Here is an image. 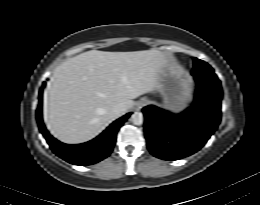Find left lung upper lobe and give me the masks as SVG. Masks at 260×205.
Here are the masks:
<instances>
[{"label": "left lung upper lobe", "mask_w": 260, "mask_h": 205, "mask_svg": "<svg viewBox=\"0 0 260 205\" xmlns=\"http://www.w3.org/2000/svg\"><path fill=\"white\" fill-rule=\"evenodd\" d=\"M202 74L204 77L217 79L214 70L206 62L194 58V68L192 70V75Z\"/></svg>", "instance_id": "1"}]
</instances>
